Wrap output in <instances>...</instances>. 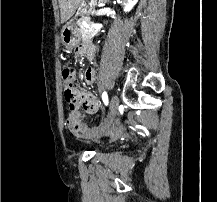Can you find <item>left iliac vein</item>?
Returning a JSON list of instances; mask_svg holds the SVG:
<instances>
[{
    "instance_id": "obj_1",
    "label": "left iliac vein",
    "mask_w": 217,
    "mask_h": 202,
    "mask_svg": "<svg viewBox=\"0 0 217 202\" xmlns=\"http://www.w3.org/2000/svg\"><path fill=\"white\" fill-rule=\"evenodd\" d=\"M118 109H119V98L116 95H113L110 99V117L106 120L104 127L101 129V131H96L88 135L87 138L89 139L96 138L102 134V131H105V129L110 127L113 124L114 118L117 116Z\"/></svg>"
}]
</instances>
